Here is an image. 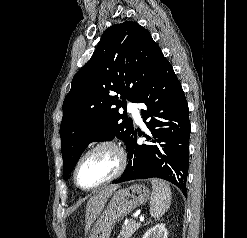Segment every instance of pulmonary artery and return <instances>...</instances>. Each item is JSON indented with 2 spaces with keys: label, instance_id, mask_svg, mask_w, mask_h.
<instances>
[{
  "label": "pulmonary artery",
  "instance_id": "pulmonary-artery-1",
  "mask_svg": "<svg viewBox=\"0 0 247 238\" xmlns=\"http://www.w3.org/2000/svg\"><path fill=\"white\" fill-rule=\"evenodd\" d=\"M128 110L133 115L135 121L138 124H142V118H141V114H140V110H139L138 105L135 103H129Z\"/></svg>",
  "mask_w": 247,
  "mask_h": 238
}]
</instances>
